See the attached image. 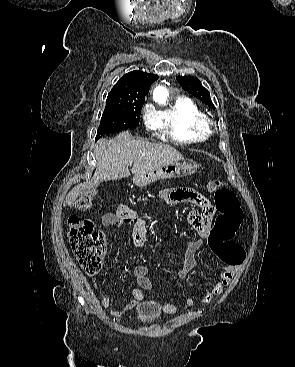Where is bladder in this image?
Masks as SVG:
<instances>
[{
	"mask_svg": "<svg viewBox=\"0 0 295 367\" xmlns=\"http://www.w3.org/2000/svg\"><path fill=\"white\" fill-rule=\"evenodd\" d=\"M161 315V305L156 301H147L142 303L136 312L137 321L143 325L157 321Z\"/></svg>",
	"mask_w": 295,
	"mask_h": 367,
	"instance_id": "obj_1",
	"label": "bladder"
}]
</instances>
